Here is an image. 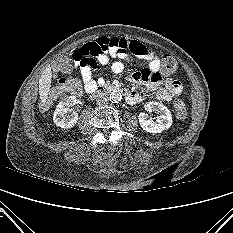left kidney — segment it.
Masks as SVG:
<instances>
[{
	"mask_svg": "<svg viewBox=\"0 0 233 233\" xmlns=\"http://www.w3.org/2000/svg\"><path fill=\"white\" fill-rule=\"evenodd\" d=\"M145 109L153 111L160 116L156 120L149 118L147 114L140 113L138 116L139 124L143 130L149 133H160L163 130H167L172 125V116L169 109L159 102H147Z\"/></svg>",
	"mask_w": 233,
	"mask_h": 233,
	"instance_id": "obj_1",
	"label": "left kidney"
}]
</instances>
